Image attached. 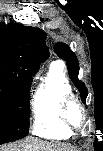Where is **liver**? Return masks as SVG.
<instances>
[{"instance_id": "liver-1", "label": "liver", "mask_w": 103, "mask_h": 151, "mask_svg": "<svg viewBox=\"0 0 103 151\" xmlns=\"http://www.w3.org/2000/svg\"><path fill=\"white\" fill-rule=\"evenodd\" d=\"M1 151H73V148L64 144H56L34 137H27L19 144L1 148Z\"/></svg>"}]
</instances>
